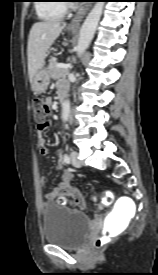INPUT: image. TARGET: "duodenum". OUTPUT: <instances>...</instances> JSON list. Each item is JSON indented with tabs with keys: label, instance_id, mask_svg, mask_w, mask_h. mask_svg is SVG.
<instances>
[{
	"label": "duodenum",
	"instance_id": "obj_1",
	"mask_svg": "<svg viewBox=\"0 0 158 275\" xmlns=\"http://www.w3.org/2000/svg\"><path fill=\"white\" fill-rule=\"evenodd\" d=\"M67 93H68V87L61 88L59 90V98H60V100H63L67 96Z\"/></svg>",
	"mask_w": 158,
	"mask_h": 275
}]
</instances>
